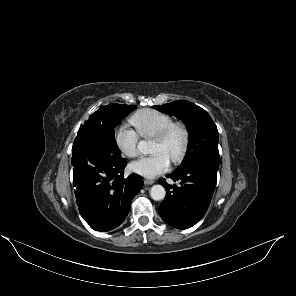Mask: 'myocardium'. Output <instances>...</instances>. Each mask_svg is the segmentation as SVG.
I'll use <instances>...</instances> for the list:
<instances>
[{
    "label": "myocardium",
    "mask_w": 296,
    "mask_h": 296,
    "mask_svg": "<svg viewBox=\"0 0 296 296\" xmlns=\"http://www.w3.org/2000/svg\"><path fill=\"white\" fill-rule=\"evenodd\" d=\"M175 130H178L181 133L182 142L179 151L171 160L174 163H178L184 158L189 145V131L184 123L180 121H172L157 136L154 137V140L164 143L169 139Z\"/></svg>",
    "instance_id": "myocardium-1"
}]
</instances>
